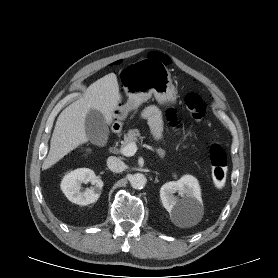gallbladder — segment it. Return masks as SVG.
<instances>
[{
	"mask_svg": "<svg viewBox=\"0 0 278 278\" xmlns=\"http://www.w3.org/2000/svg\"><path fill=\"white\" fill-rule=\"evenodd\" d=\"M85 130L88 140L98 146L107 143L109 128L104 116L95 109H90L85 117Z\"/></svg>",
	"mask_w": 278,
	"mask_h": 278,
	"instance_id": "obj_1",
	"label": "gallbladder"
}]
</instances>
